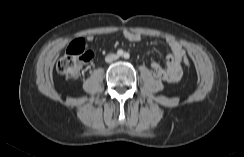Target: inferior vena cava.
<instances>
[{
  "label": "inferior vena cava",
  "mask_w": 244,
  "mask_h": 157,
  "mask_svg": "<svg viewBox=\"0 0 244 157\" xmlns=\"http://www.w3.org/2000/svg\"><path fill=\"white\" fill-rule=\"evenodd\" d=\"M117 58H118V57H117L116 54H109V55H107V56L105 57V61L108 62V63H110V62L116 60Z\"/></svg>",
  "instance_id": "obj_1"
}]
</instances>
